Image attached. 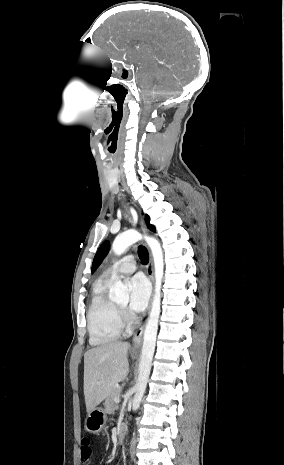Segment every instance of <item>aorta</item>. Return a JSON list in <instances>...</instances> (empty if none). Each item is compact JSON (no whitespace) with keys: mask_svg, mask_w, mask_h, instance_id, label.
I'll use <instances>...</instances> for the list:
<instances>
[{"mask_svg":"<svg viewBox=\"0 0 284 465\" xmlns=\"http://www.w3.org/2000/svg\"><path fill=\"white\" fill-rule=\"evenodd\" d=\"M145 239L152 252L154 260L155 274V293L153 296L152 307L148 317L147 325L144 331V341L141 351L139 364V374L135 385V395L133 397V409H138L146 390L152 359L155 350L156 337L158 331V322L161 312V282L164 274L163 251L159 241L153 237L142 236L137 231H126L117 236L113 242L112 250L116 255H122L129 246L137 241ZM110 297L116 302H126L128 300V287L117 279L110 289Z\"/></svg>","mask_w":284,"mask_h":465,"instance_id":"obj_1","label":"aorta"}]
</instances>
